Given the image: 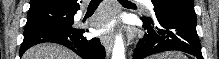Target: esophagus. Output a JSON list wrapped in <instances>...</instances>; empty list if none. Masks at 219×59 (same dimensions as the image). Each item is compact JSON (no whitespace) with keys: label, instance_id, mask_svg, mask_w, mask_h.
<instances>
[{"label":"esophagus","instance_id":"1","mask_svg":"<svg viewBox=\"0 0 219 59\" xmlns=\"http://www.w3.org/2000/svg\"><path fill=\"white\" fill-rule=\"evenodd\" d=\"M109 3L112 4V8H110L109 15L107 17V21L110 20L118 11V6H117L116 0H111ZM100 38H101V42L105 46L106 55H107V57H109L110 53L112 51V48H113L112 36H111V34H105V35H102Z\"/></svg>","mask_w":219,"mask_h":59}]
</instances>
